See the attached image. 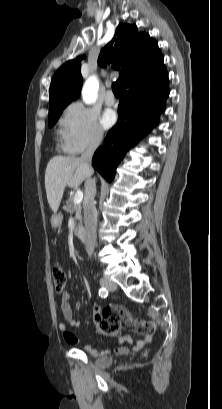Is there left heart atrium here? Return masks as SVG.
<instances>
[{"label":"left heart atrium","mask_w":222,"mask_h":409,"mask_svg":"<svg viewBox=\"0 0 222 409\" xmlns=\"http://www.w3.org/2000/svg\"><path fill=\"white\" fill-rule=\"evenodd\" d=\"M116 122V114L111 111L107 110L103 113L101 118V124L104 128H110Z\"/></svg>","instance_id":"1"}]
</instances>
